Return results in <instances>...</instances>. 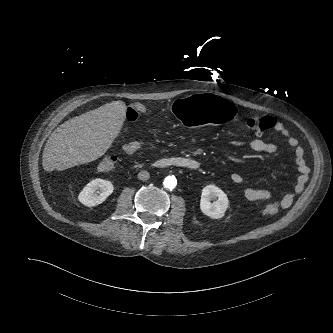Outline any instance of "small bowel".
<instances>
[{
	"label": "small bowel",
	"mask_w": 333,
	"mask_h": 333,
	"mask_svg": "<svg viewBox=\"0 0 333 333\" xmlns=\"http://www.w3.org/2000/svg\"><path fill=\"white\" fill-rule=\"evenodd\" d=\"M272 129L281 134L287 144L294 152L295 162L298 168V177L295 187L287 192L281 199L280 205L282 208H288L293 203L295 197L302 191L308 175V167L305 162L304 150L300 145L298 139L290 134L288 129L281 121L274 120ZM230 145L234 148L249 149L256 153L272 154L277 151V144L274 142L264 141L261 138H253L249 140H233ZM140 149L139 142H130L126 145L125 150L127 153L132 154ZM230 179L235 184H242L244 181L240 173H232ZM243 194L245 198L252 202L264 201L272 198V193L266 189L244 188Z\"/></svg>",
	"instance_id": "small-bowel-1"
}]
</instances>
